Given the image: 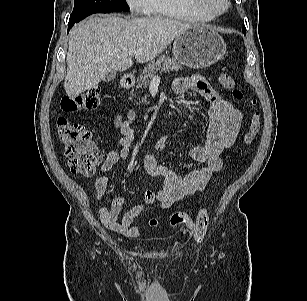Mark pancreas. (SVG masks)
Here are the masks:
<instances>
[{
  "instance_id": "1",
  "label": "pancreas",
  "mask_w": 307,
  "mask_h": 301,
  "mask_svg": "<svg viewBox=\"0 0 307 301\" xmlns=\"http://www.w3.org/2000/svg\"><path fill=\"white\" fill-rule=\"evenodd\" d=\"M182 66L176 62L175 58L160 56L156 61H151L143 70L142 74L137 78V88H146L153 76L158 71H178ZM142 103H147L146 97L142 99Z\"/></svg>"
}]
</instances>
